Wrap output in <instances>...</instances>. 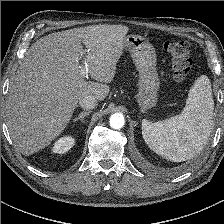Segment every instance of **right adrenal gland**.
I'll return each mask as SVG.
<instances>
[{
	"label": "right adrenal gland",
	"instance_id": "right-adrenal-gland-1",
	"mask_svg": "<svg viewBox=\"0 0 224 224\" xmlns=\"http://www.w3.org/2000/svg\"><path fill=\"white\" fill-rule=\"evenodd\" d=\"M89 114H90V111H82L75 119H73V122L75 123L78 120H81L82 122H84L85 116H87Z\"/></svg>",
	"mask_w": 224,
	"mask_h": 224
}]
</instances>
